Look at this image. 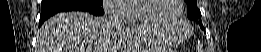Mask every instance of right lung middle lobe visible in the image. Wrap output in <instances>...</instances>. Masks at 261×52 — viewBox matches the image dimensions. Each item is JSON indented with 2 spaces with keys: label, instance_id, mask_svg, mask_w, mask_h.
I'll use <instances>...</instances> for the list:
<instances>
[{
  "label": "right lung middle lobe",
  "instance_id": "1",
  "mask_svg": "<svg viewBox=\"0 0 261 52\" xmlns=\"http://www.w3.org/2000/svg\"><path fill=\"white\" fill-rule=\"evenodd\" d=\"M94 3H99V4H103L102 0H95L93 1Z\"/></svg>",
  "mask_w": 261,
  "mask_h": 52
}]
</instances>
